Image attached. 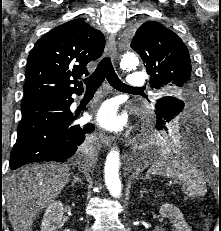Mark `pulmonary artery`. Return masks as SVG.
<instances>
[{"label":"pulmonary artery","mask_w":221,"mask_h":231,"mask_svg":"<svg viewBox=\"0 0 221 231\" xmlns=\"http://www.w3.org/2000/svg\"><path fill=\"white\" fill-rule=\"evenodd\" d=\"M146 78L141 73L133 72L127 80V85L132 88H138L144 86Z\"/></svg>","instance_id":"pulmonary-artery-1"}]
</instances>
